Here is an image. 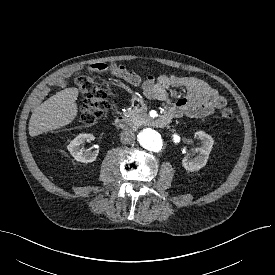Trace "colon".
<instances>
[{"mask_svg": "<svg viewBox=\"0 0 275 275\" xmlns=\"http://www.w3.org/2000/svg\"><path fill=\"white\" fill-rule=\"evenodd\" d=\"M108 67L114 70H120L121 66L107 64ZM76 84L80 87L84 100L81 105L79 121L85 125L95 123L109 108L107 95L95 81L88 76L78 75L75 78ZM220 115L224 119H231L234 115L231 107H224L220 111Z\"/></svg>", "mask_w": 275, "mask_h": 275, "instance_id": "5ec220e1", "label": "colon"}]
</instances>
